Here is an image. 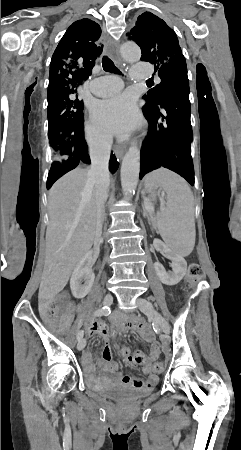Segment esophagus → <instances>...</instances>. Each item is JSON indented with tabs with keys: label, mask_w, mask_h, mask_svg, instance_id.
<instances>
[{
	"label": "esophagus",
	"mask_w": 241,
	"mask_h": 450,
	"mask_svg": "<svg viewBox=\"0 0 241 450\" xmlns=\"http://www.w3.org/2000/svg\"><path fill=\"white\" fill-rule=\"evenodd\" d=\"M111 53H112L113 56H114V60L117 61V60H118V46H117V45L114 46V47L111 49ZM125 150H126V147H119V148H116V149H115L116 157L119 158V159H121V158L123 157V154H124Z\"/></svg>",
	"instance_id": "esophagus-1"
}]
</instances>
